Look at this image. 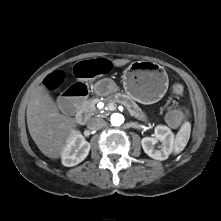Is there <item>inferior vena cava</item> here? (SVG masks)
<instances>
[{
    "label": "inferior vena cava",
    "instance_id": "1",
    "mask_svg": "<svg viewBox=\"0 0 221 221\" xmlns=\"http://www.w3.org/2000/svg\"><path fill=\"white\" fill-rule=\"evenodd\" d=\"M105 124L106 122L104 121V119L98 117H93L87 122L88 128L92 130L100 129L105 126Z\"/></svg>",
    "mask_w": 221,
    "mask_h": 221
}]
</instances>
